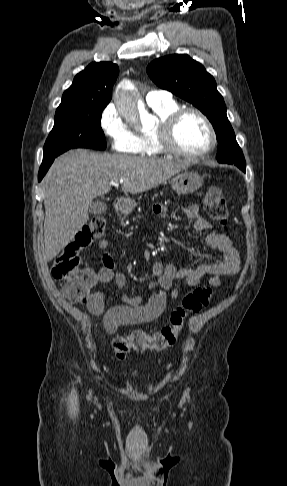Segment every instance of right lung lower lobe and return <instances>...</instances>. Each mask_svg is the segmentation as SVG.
<instances>
[{
    "label": "right lung lower lobe",
    "mask_w": 287,
    "mask_h": 486,
    "mask_svg": "<svg viewBox=\"0 0 287 486\" xmlns=\"http://www.w3.org/2000/svg\"><path fill=\"white\" fill-rule=\"evenodd\" d=\"M54 159L55 158H51V159H48V160H43V162H42V164L40 166V169H39L38 181H41L42 180V178L44 177V175L48 171L49 167L53 163Z\"/></svg>",
    "instance_id": "98d812e1"
}]
</instances>
